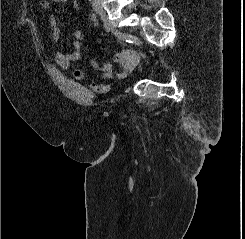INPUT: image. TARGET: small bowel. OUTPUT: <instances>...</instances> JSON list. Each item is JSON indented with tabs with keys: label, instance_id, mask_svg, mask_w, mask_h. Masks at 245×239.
I'll return each instance as SVG.
<instances>
[{
	"label": "small bowel",
	"instance_id": "small-bowel-1",
	"mask_svg": "<svg viewBox=\"0 0 245 239\" xmlns=\"http://www.w3.org/2000/svg\"><path fill=\"white\" fill-rule=\"evenodd\" d=\"M67 0H41L40 5L45 10H50L54 4L64 3ZM52 39L54 43L59 41V28L56 25L54 19L52 18ZM95 25L94 15L89 17V27L85 30H79L71 33V52L58 51L56 53V61L61 69L67 70L71 67L72 63L77 62L81 58L82 51L84 49V43L81 39L85 38L90 33V28ZM114 62H116L119 67L117 71H114L112 65L101 63L97 60L91 61V67L95 71L102 72L103 77L101 82H90L88 88L96 93H107L111 90V81L114 79L123 80L126 78L129 67L130 59L128 55L122 51L118 50L113 56ZM72 77L75 81L80 82L84 79L85 73L82 69H74L72 71Z\"/></svg>",
	"mask_w": 245,
	"mask_h": 239
}]
</instances>
